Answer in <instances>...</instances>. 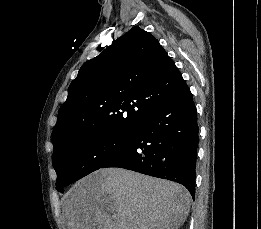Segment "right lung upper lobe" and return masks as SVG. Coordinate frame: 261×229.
<instances>
[{
    "instance_id": "1",
    "label": "right lung upper lobe",
    "mask_w": 261,
    "mask_h": 229,
    "mask_svg": "<svg viewBox=\"0 0 261 229\" xmlns=\"http://www.w3.org/2000/svg\"><path fill=\"white\" fill-rule=\"evenodd\" d=\"M182 81L158 40L133 27L80 68L59 109L54 149L85 132L135 133Z\"/></svg>"
}]
</instances>
